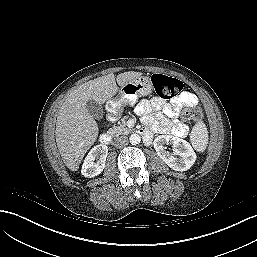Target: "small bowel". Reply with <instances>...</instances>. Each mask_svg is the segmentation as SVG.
Returning a JSON list of instances; mask_svg holds the SVG:
<instances>
[{"instance_id":"small-bowel-1","label":"small bowel","mask_w":257,"mask_h":257,"mask_svg":"<svg viewBox=\"0 0 257 257\" xmlns=\"http://www.w3.org/2000/svg\"><path fill=\"white\" fill-rule=\"evenodd\" d=\"M197 103V97L191 92H183L169 103H165L159 98L139 102L136 111L150 127V131L146 130L149 135L146 141L151 139L153 132L159 134L172 133L179 137L185 136L188 131L187 127L182 123H173L171 119L178 115L182 107H192ZM152 110L160 113L158 117H154L150 114Z\"/></svg>"}]
</instances>
